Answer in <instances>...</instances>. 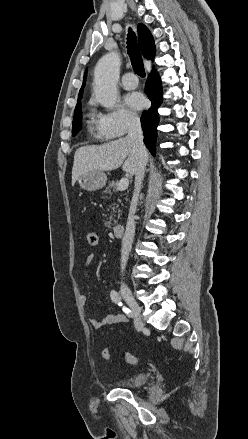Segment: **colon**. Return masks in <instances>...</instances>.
Returning a JSON list of instances; mask_svg holds the SVG:
<instances>
[{
	"instance_id": "1",
	"label": "colon",
	"mask_w": 248,
	"mask_h": 439,
	"mask_svg": "<svg viewBox=\"0 0 248 439\" xmlns=\"http://www.w3.org/2000/svg\"><path fill=\"white\" fill-rule=\"evenodd\" d=\"M86 242L89 246L95 247L99 244V236L95 231H87L85 233ZM102 357L105 360H109L111 358V354L108 348H103ZM124 360L129 364H135L137 362V357L131 353H124Z\"/></svg>"
}]
</instances>
